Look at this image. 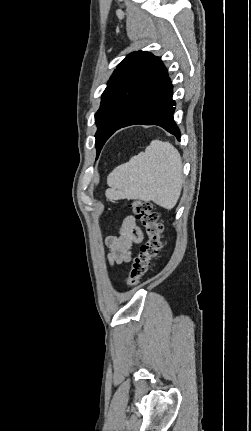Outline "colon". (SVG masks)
<instances>
[{
	"label": "colon",
	"instance_id": "1",
	"mask_svg": "<svg viewBox=\"0 0 251 431\" xmlns=\"http://www.w3.org/2000/svg\"><path fill=\"white\" fill-rule=\"evenodd\" d=\"M129 207L132 209L135 217L141 223L148 236V239L142 244L138 254L132 261L127 285L129 288H135L139 285L151 261L157 257L161 249L163 226L151 202L134 200L129 204Z\"/></svg>",
	"mask_w": 251,
	"mask_h": 431
}]
</instances>
